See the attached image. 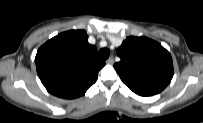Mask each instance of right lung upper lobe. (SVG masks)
Listing matches in <instances>:
<instances>
[{
    "instance_id": "obj_1",
    "label": "right lung upper lobe",
    "mask_w": 203,
    "mask_h": 123,
    "mask_svg": "<svg viewBox=\"0 0 203 123\" xmlns=\"http://www.w3.org/2000/svg\"><path fill=\"white\" fill-rule=\"evenodd\" d=\"M87 39L84 30H71L53 37L37 51V74L51 94L77 98L96 82L105 63Z\"/></svg>"
}]
</instances>
